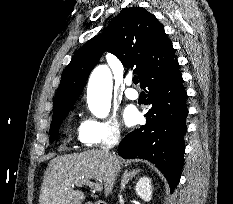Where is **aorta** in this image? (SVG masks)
Returning <instances> with one entry per match:
<instances>
[{"mask_svg":"<svg viewBox=\"0 0 233 204\" xmlns=\"http://www.w3.org/2000/svg\"><path fill=\"white\" fill-rule=\"evenodd\" d=\"M112 84V74L106 65L97 66L92 71L87 88V103L97 118H105L110 112Z\"/></svg>","mask_w":233,"mask_h":204,"instance_id":"aorta-1","label":"aorta"}]
</instances>
